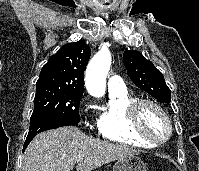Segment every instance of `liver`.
Returning <instances> with one entry per match:
<instances>
[{"instance_id": "obj_1", "label": "liver", "mask_w": 199, "mask_h": 171, "mask_svg": "<svg viewBox=\"0 0 199 171\" xmlns=\"http://www.w3.org/2000/svg\"><path fill=\"white\" fill-rule=\"evenodd\" d=\"M139 154L126 145L87 136L74 126L38 134L27 147L21 171H92L104 164Z\"/></svg>"}]
</instances>
